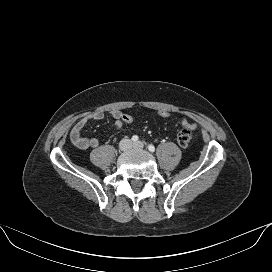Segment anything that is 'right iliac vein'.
<instances>
[{
    "label": "right iliac vein",
    "mask_w": 272,
    "mask_h": 272,
    "mask_svg": "<svg viewBox=\"0 0 272 272\" xmlns=\"http://www.w3.org/2000/svg\"><path fill=\"white\" fill-rule=\"evenodd\" d=\"M130 144L131 143H130L129 140L124 141L123 144H122V149L127 150L130 147Z\"/></svg>",
    "instance_id": "right-iliac-vein-1"
}]
</instances>
